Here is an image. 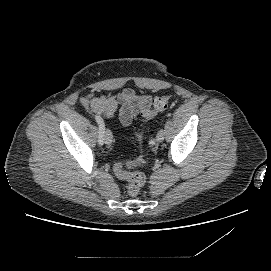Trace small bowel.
I'll return each mask as SVG.
<instances>
[{"label": "small bowel", "instance_id": "small-bowel-1", "mask_svg": "<svg viewBox=\"0 0 271 271\" xmlns=\"http://www.w3.org/2000/svg\"><path fill=\"white\" fill-rule=\"evenodd\" d=\"M81 103L84 107L106 118L114 117L118 111L120 123L123 126H129L145 110L150 108L152 98L126 89L114 96L97 97L89 94L81 98Z\"/></svg>", "mask_w": 271, "mask_h": 271}]
</instances>
